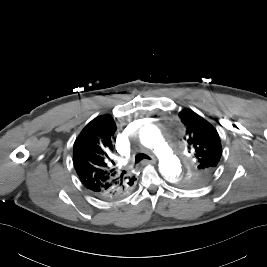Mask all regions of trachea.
Segmentation results:
<instances>
[{
  "label": "trachea",
  "mask_w": 267,
  "mask_h": 267,
  "mask_svg": "<svg viewBox=\"0 0 267 267\" xmlns=\"http://www.w3.org/2000/svg\"><path fill=\"white\" fill-rule=\"evenodd\" d=\"M143 159H148L150 160L151 158L147 155V154H144V153H137L135 155V163H139L140 161H142Z\"/></svg>",
  "instance_id": "1"
}]
</instances>
